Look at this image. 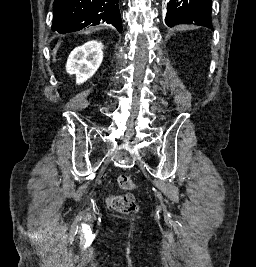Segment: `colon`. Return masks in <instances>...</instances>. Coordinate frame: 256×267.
Wrapping results in <instances>:
<instances>
[{
    "label": "colon",
    "instance_id": "1",
    "mask_svg": "<svg viewBox=\"0 0 256 267\" xmlns=\"http://www.w3.org/2000/svg\"><path fill=\"white\" fill-rule=\"evenodd\" d=\"M117 185L120 189H133L134 183L131 181L128 175L122 174L117 178ZM129 195L111 194L107 198V206L110 211L121 213V214H129L133 213L137 210V204L135 199L131 196L132 194L127 193Z\"/></svg>",
    "mask_w": 256,
    "mask_h": 267
}]
</instances>
